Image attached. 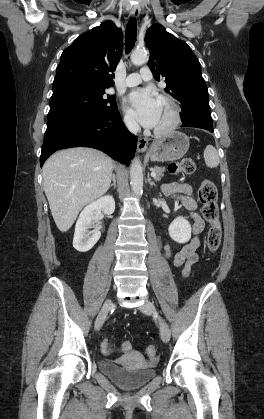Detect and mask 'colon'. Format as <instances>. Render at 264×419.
<instances>
[{
    "label": "colon",
    "mask_w": 264,
    "mask_h": 419,
    "mask_svg": "<svg viewBox=\"0 0 264 419\" xmlns=\"http://www.w3.org/2000/svg\"><path fill=\"white\" fill-rule=\"evenodd\" d=\"M196 169L194 161L190 158H185L177 162H172L168 166L171 174H192ZM217 188L210 180H203L198 189V198L202 205L201 212L203 218L209 223L207 233V247L211 252H216L221 244L222 229L219 221V209L217 205ZM125 349L131 347L130 343L122 345ZM102 350L108 351L113 346L110 340L105 339L102 342ZM146 353L150 359H155L157 351L155 347L149 346Z\"/></svg>",
    "instance_id": "1"
}]
</instances>
